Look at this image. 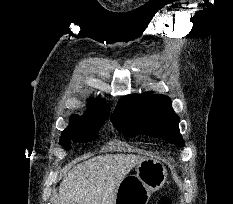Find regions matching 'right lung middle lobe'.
Masks as SVG:
<instances>
[{
  "mask_svg": "<svg viewBox=\"0 0 233 204\" xmlns=\"http://www.w3.org/2000/svg\"><path fill=\"white\" fill-rule=\"evenodd\" d=\"M106 117L82 120L71 124L65 129L60 138V143L66 150L70 148V141L89 142L97 138L98 130L103 125Z\"/></svg>",
  "mask_w": 233,
  "mask_h": 204,
  "instance_id": "right-lung-middle-lobe-1",
  "label": "right lung middle lobe"
}]
</instances>
